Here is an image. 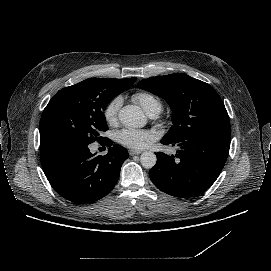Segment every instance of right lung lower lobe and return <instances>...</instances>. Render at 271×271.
<instances>
[{
	"mask_svg": "<svg viewBox=\"0 0 271 271\" xmlns=\"http://www.w3.org/2000/svg\"><path fill=\"white\" fill-rule=\"evenodd\" d=\"M105 156L94 157L89 144L73 139H49L40 142V158L51 186L74 203H91L106 196L119 179L128 151L105 138Z\"/></svg>",
	"mask_w": 271,
	"mask_h": 271,
	"instance_id": "1",
	"label": "right lung lower lobe"
}]
</instances>
